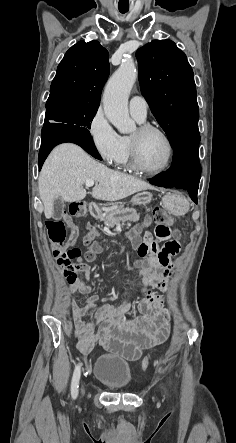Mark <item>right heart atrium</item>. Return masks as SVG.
<instances>
[{"label": "right heart atrium", "instance_id": "obj_1", "mask_svg": "<svg viewBox=\"0 0 236 443\" xmlns=\"http://www.w3.org/2000/svg\"><path fill=\"white\" fill-rule=\"evenodd\" d=\"M87 132L92 146L107 164L117 166L121 163L125 152L123 139L101 109L93 114Z\"/></svg>", "mask_w": 236, "mask_h": 443}]
</instances>
